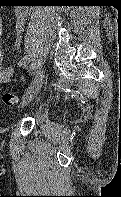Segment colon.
<instances>
[{"label": "colon", "instance_id": "5ec220e1", "mask_svg": "<svg viewBox=\"0 0 121 197\" xmlns=\"http://www.w3.org/2000/svg\"><path fill=\"white\" fill-rule=\"evenodd\" d=\"M2 101L7 106H13L17 103V97L11 92H5L2 95Z\"/></svg>", "mask_w": 121, "mask_h": 197}]
</instances>
